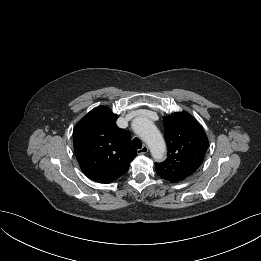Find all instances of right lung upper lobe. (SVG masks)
Masks as SVG:
<instances>
[{
    "label": "right lung upper lobe",
    "instance_id": "right-lung-upper-lobe-1",
    "mask_svg": "<svg viewBox=\"0 0 261 261\" xmlns=\"http://www.w3.org/2000/svg\"><path fill=\"white\" fill-rule=\"evenodd\" d=\"M118 115L99 106L85 115L73 130L74 150L84 174L99 183L122 176L135 158L129 133L116 125Z\"/></svg>",
    "mask_w": 261,
    "mask_h": 261
}]
</instances>
